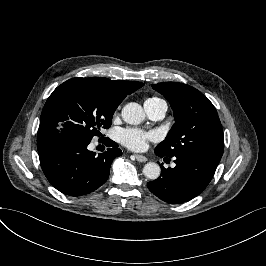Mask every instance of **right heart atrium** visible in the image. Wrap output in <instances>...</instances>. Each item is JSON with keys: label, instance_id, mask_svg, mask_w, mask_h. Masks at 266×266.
Returning <instances> with one entry per match:
<instances>
[{"label": "right heart atrium", "instance_id": "right-heart-atrium-1", "mask_svg": "<svg viewBox=\"0 0 266 266\" xmlns=\"http://www.w3.org/2000/svg\"><path fill=\"white\" fill-rule=\"evenodd\" d=\"M119 110H120V107H118V108L115 110V115L118 114Z\"/></svg>", "mask_w": 266, "mask_h": 266}]
</instances>
